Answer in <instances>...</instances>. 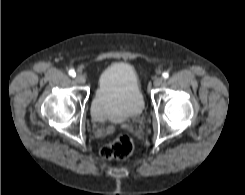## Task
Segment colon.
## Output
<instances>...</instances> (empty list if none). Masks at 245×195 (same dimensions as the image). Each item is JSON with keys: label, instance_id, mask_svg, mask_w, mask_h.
<instances>
[{"label": "colon", "instance_id": "5ec220e1", "mask_svg": "<svg viewBox=\"0 0 245 195\" xmlns=\"http://www.w3.org/2000/svg\"><path fill=\"white\" fill-rule=\"evenodd\" d=\"M134 150V140L127 133L118 134L112 142L100 149V155L105 159H125Z\"/></svg>", "mask_w": 245, "mask_h": 195}]
</instances>
